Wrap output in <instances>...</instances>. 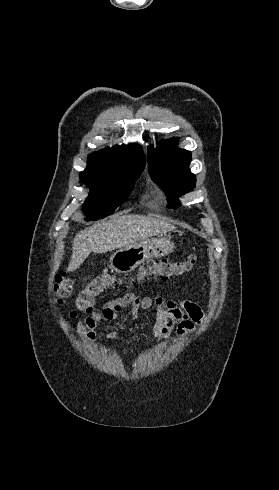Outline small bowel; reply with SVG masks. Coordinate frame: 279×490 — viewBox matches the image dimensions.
Here are the masks:
<instances>
[{
  "label": "small bowel",
  "instance_id": "obj_1",
  "mask_svg": "<svg viewBox=\"0 0 279 490\" xmlns=\"http://www.w3.org/2000/svg\"><path fill=\"white\" fill-rule=\"evenodd\" d=\"M126 308H129L134 318H137L142 310H154L156 321L152 336L156 342L165 340L173 331L179 337H185L192 333L196 326L204 320L203 311L192 301H175L159 296L141 297L134 293H128L92 312L77 325V333L84 342L93 343L96 340L95 329L98 324L104 321L117 320L120 313ZM109 340L113 344L116 343V335L110 334Z\"/></svg>",
  "mask_w": 279,
  "mask_h": 490
}]
</instances>
